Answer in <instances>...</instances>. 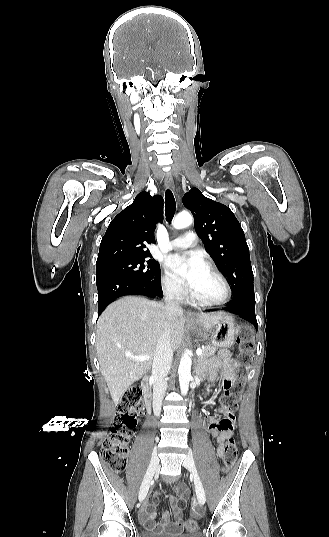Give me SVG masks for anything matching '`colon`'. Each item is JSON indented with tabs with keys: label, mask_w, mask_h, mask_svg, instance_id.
<instances>
[{
	"label": "colon",
	"mask_w": 329,
	"mask_h": 537,
	"mask_svg": "<svg viewBox=\"0 0 329 537\" xmlns=\"http://www.w3.org/2000/svg\"><path fill=\"white\" fill-rule=\"evenodd\" d=\"M240 353L238 355L239 368L232 389L223 393L219 412L223 420L218 427L224 432L235 428L233 411L237 408L240 395L245 388L247 374L254 360V336L249 329L243 330L239 335ZM141 389L133 387L127 390L117 404L115 419L110 433L103 442L100 456L104 463L111 466L115 471H122L127 462V454L132 431L138 423V414L141 409ZM238 448L235 439L229 436L224 446V470L228 472L237 458ZM185 528L192 533L197 531L198 522L189 518L184 523Z\"/></svg>",
	"instance_id": "5ec220e1"
}]
</instances>
